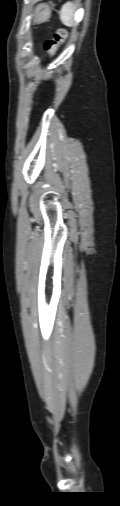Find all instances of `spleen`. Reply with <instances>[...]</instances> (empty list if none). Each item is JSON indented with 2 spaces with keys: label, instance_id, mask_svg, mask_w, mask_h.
Masks as SVG:
<instances>
[{
  "label": "spleen",
  "instance_id": "3e777b00",
  "mask_svg": "<svg viewBox=\"0 0 120 506\" xmlns=\"http://www.w3.org/2000/svg\"><path fill=\"white\" fill-rule=\"evenodd\" d=\"M73 14H74V5L71 2H67L63 5L60 12V19L62 23L66 26L71 27L73 25Z\"/></svg>",
  "mask_w": 120,
  "mask_h": 506
}]
</instances>
